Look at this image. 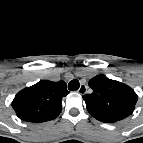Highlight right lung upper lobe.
Segmentation results:
<instances>
[{
  "instance_id": "1",
  "label": "right lung upper lobe",
  "mask_w": 143,
  "mask_h": 143,
  "mask_svg": "<svg viewBox=\"0 0 143 143\" xmlns=\"http://www.w3.org/2000/svg\"><path fill=\"white\" fill-rule=\"evenodd\" d=\"M69 92L64 81H40L20 91L12 102L17 116L29 122L55 119L62 109V97Z\"/></svg>"
}]
</instances>
